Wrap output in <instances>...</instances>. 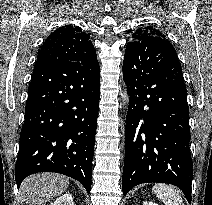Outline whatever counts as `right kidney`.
<instances>
[{
  "instance_id": "right-kidney-1",
  "label": "right kidney",
  "mask_w": 212,
  "mask_h": 205,
  "mask_svg": "<svg viewBox=\"0 0 212 205\" xmlns=\"http://www.w3.org/2000/svg\"><path fill=\"white\" fill-rule=\"evenodd\" d=\"M50 205H74L73 204V198L71 194H64L57 198L54 203H51Z\"/></svg>"
}]
</instances>
